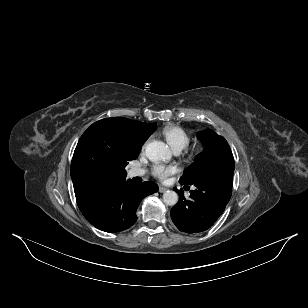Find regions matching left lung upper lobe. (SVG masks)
Here are the masks:
<instances>
[{"instance_id":"1","label":"left lung upper lobe","mask_w":308,"mask_h":308,"mask_svg":"<svg viewBox=\"0 0 308 308\" xmlns=\"http://www.w3.org/2000/svg\"><path fill=\"white\" fill-rule=\"evenodd\" d=\"M198 138L203 142L205 151L196 157L195 163L184 171L180 184L191 185L201 177L220 169L235 168L233 154L224 137L213 130L198 132Z\"/></svg>"}]
</instances>
